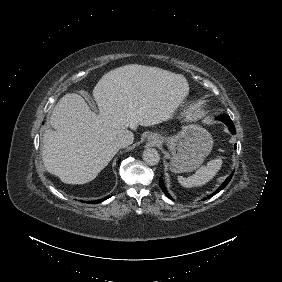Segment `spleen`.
<instances>
[{
    "mask_svg": "<svg viewBox=\"0 0 282 282\" xmlns=\"http://www.w3.org/2000/svg\"><path fill=\"white\" fill-rule=\"evenodd\" d=\"M223 163L224 159L222 157H216L188 178L178 175L177 182L186 189L202 187L217 176L223 166Z\"/></svg>",
    "mask_w": 282,
    "mask_h": 282,
    "instance_id": "obj_1",
    "label": "spleen"
}]
</instances>
